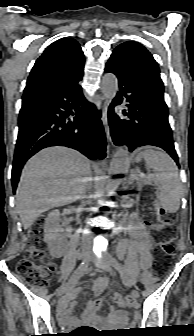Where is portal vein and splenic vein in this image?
<instances>
[{
    "instance_id": "1",
    "label": "portal vein and splenic vein",
    "mask_w": 194,
    "mask_h": 336,
    "mask_svg": "<svg viewBox=\"0 0 194 336\" xmlns=\"http://www.w3.org/2000/svg\"><path fill=\"white\" fill-rule=\"evenodd\" d=\"M149 176H151V175H149ZM139 177H140V178H144V177H146V175H145L144 173H140V174H139Z\"/></svg>"
}]
</instances>
